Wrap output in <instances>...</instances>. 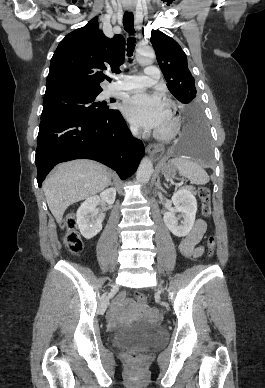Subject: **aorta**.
<instances>
[{
    "mask_svg": "<svg viewBox=\"0 0 265 388\" xmlns=\"http://www.w3.org/2000/svg\"><path fill=\"white\" fill-rule=\"evenodd\" d=\"M139 62L142 64H150L154 58L152 49L141 50L138 54ZM153 173V164L148 157H144L137 170L136 180L140 184H146L150 180Z\"/></svg>",
    "mask_w": 265,
    "mask_h": 388,
    "instance_id": "aorta-1",
    "label": "aorta"
}]
</instances>
